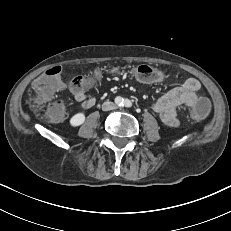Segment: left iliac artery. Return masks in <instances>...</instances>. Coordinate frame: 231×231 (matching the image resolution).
I'll return each mask as SVG.
<instances>
[{
	"mask_svg": "<svg viewBox=\"0 0 231 231\" xmlns=\"http://www.w3.org/2000/svg\"><path fill=\"white\" fill-rule=\"evenodd\" d=\"M123 106H125L127 108H130V107H132V102L130 100H128V99H125L123 101Z\"/></svg>",
	"mask_w": 231,
	"mask_h": 231,
	"instance_id": "1",
	"label": "left iliac artery"
}]
</instances>
